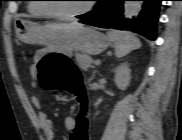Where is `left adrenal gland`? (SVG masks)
<instances>
[{
	"mask_svg": "<svg viewBox=\"0 0 182 140\" xmlns=\"http://www.w3.org/2000/svg\"><path fill=\"white\" fill-rule=\"evenodd\" d=\"M95 73H96V70H95V71H93V76H92V78H94V76H95Z\"/></svg>",
	"mask_w": 182,
	"mask_h": 140,
	"instance_id": "a2214340",
	"label": "left adrenal gland"
}]
</instances>
